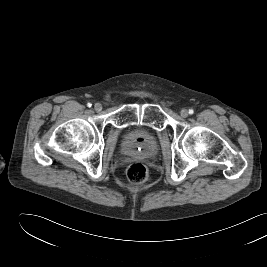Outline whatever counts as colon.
Segmentation results:
<instances>
[{
  "label": "colon",
  "instance_id": "1",
  "mask_svg": "<svg viewBox=\"0 0 267 267\" xmlns=\"http://www.w3.org/2000/svg\"><path fill=\"white\" fill-rule=\"evenodd\" d=\"M126 175L130 182L141 184L148 180L149 169L143 163H133L128 166Z\"/></svg>",
  "mask_w": 267,
  "mask_h": 267
}]
</instances>
